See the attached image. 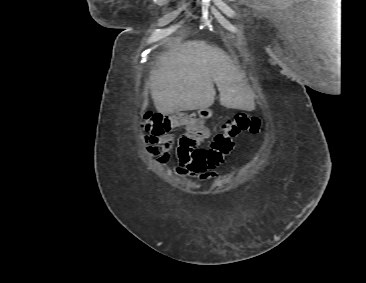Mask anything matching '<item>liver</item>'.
Masks as SVG:
<instances>
[{
	"mask_svg": "<svg viewBox=\"0 0 366 283\" xmlns=\"http://www.w3.org/2000/svg\"><path fill=\"white\" fill-rule=\"evenodd\" d=\"M244 77L221 48L206 41H187L160 58L150 77V89L162 115L208 108L216 94L213 82L222 106L252 111L254 93Z\"/></svg>",
	"mask_w": 366,
	"mask_h": 283,
	"instance_id": "liver-1",
	"label": "liver"
}]
</instances>
